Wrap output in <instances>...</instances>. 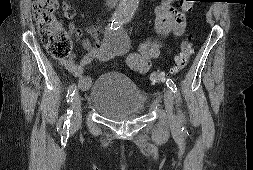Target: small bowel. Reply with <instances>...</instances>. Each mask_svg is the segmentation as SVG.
Returning <instances> with one entry per match:
<instances>
[{"mask_svg": "<svg viewBox=\"0 0 253 170\" xmlns=\"http://www.w3.org/2000/svg\"><path fill=\"white\" fill-rule=\"evenodd\" d=\"M176 0H163L162 4L155 9V31L159 35L174 34L179 36L183 33L186 25V11L177 10L173 4ZM75 9L70 2L62 3V14L65 19L72 20ZM68 32L80 36L81 32L71 21L68 24ZM88 31L91 34L96 32L94 27ZM82 46L87 51L85 56L76 63L73 58L60 61L69 73L78 79L79 87L87 89L91 84V78L84 75V70L92 65L95 60L107 61L117 54V51L108 43L100 40L83 39ZM128 67L139 73L146 74L152 65V60L160 56V45L156 42L146 40L139 44L136 52H126L123 54Z\"/></svg>", "mask_w": 253, "mask_h": 170, "instance_id": "c3829d8e", "label": "small bowel"}]
</instances>
